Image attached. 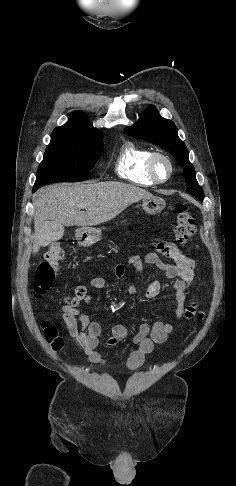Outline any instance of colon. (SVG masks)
Wrapping results in <instances>:
<instances>
[{"mask_svg":"<svg viewBox=\"0 0 236 486\" xmlns=\"http://www.w3.org/2000/svg\"><path fill=\"white\" fill-rule=\"evenodd\" d=\"M176 212L177 217L174 230L175 238L177 243L186 244L192 239L195 233V222L184 204H177ZM64 258L65 251L59 244L53 243L48 246L44 254V259L38 265L35 274V291L38 294L44 293L50 289L59 270L60 263ZM88 300V289L83 285L77 287L74 297L68 299V301L74 305L87 302ZM43 328L47 342L55 350L61 349L63 346V339L59 335L58 327L53 324L45 323Z\"/></svg>","mask_w":236,"mask_h":486,"instance_id":"colon-1","label":"colon"}]
</instances>
